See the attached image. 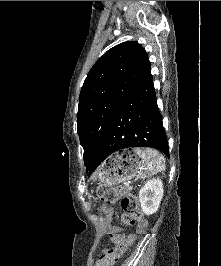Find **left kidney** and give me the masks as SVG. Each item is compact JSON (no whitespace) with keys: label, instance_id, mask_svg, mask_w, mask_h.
I'll use <instances>...</instances> for the list:
<instances>
[{"label":"left kidney","instance_id":"obj_1","mask_svg":"<svg viewBox=\"0 0 221 266\" xmlns=\"http://www.w3.org/2000/svg\"><path fill=\"white\" fill-rule=\"evenodd\" d=\"M164 189L160 179L147 181L139 191L141 209L146 215L156 213L163 198Z\"/></svg>","mask_w":221,"mask_h":266}]
</instances>
